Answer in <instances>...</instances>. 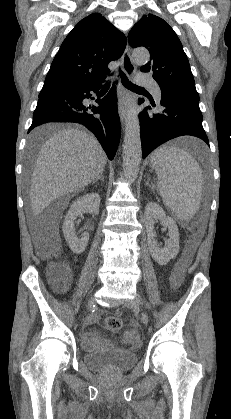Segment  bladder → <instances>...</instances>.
<instances>
[{
    "mask_svg": "<svg viewBox=\"0 0 231 419\" xmlns=\"http://www.w3.org/2000/svg\"><path fill=\"white\" fill-rule=\"evenodd\" d=\"M85 366L91 370L111 372H124L138 362L135 352L114 348L107 351L86 353L83 357Z\"/></svg>",
    "mask_w": 231,
    "mask_h": 419,
    "instance_id": "obj_1",
    "label": "bladder"
}]
</instances>
